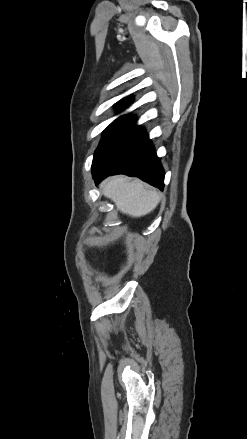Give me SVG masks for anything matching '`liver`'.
<instances>
[{"instance_id": "obj_1", "label": "liver", "mask_w": 247, "mask_h": 439, "mask_svg": "<svg viewBox=\"0 0 247 439\" xmlns=\"http://www.w3.org/2000/svg\"><path fill=\"white\" fill-rule=\"evenodd\" d=\"M102 193L115 203L120 212L136 218L152 212L160 201L159 192L126 176L107 179L102 185Z\"/></svg>"}]
</instances>
